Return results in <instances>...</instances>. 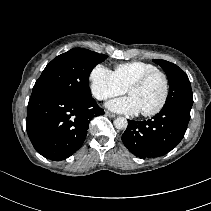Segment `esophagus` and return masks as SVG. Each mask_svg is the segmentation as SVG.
I'll return each mask as SVG.
<instances>
[{"label":"esophagus","mask_w":211,"mask_h":211,"mask_svg":"<svg viewBox=\"0 0 211 211\" xmlns=\"http://www.w3.org/2000/svg\"><path fill=\"white\" fill-rule=\"evenodd\" d=\"M105 115L108 116V117H110V118L115 117V114H113V113H111V112H109V111H106V112H105Z\"/></svg>","instance_id":"esophagus-1"}]
</instances>
